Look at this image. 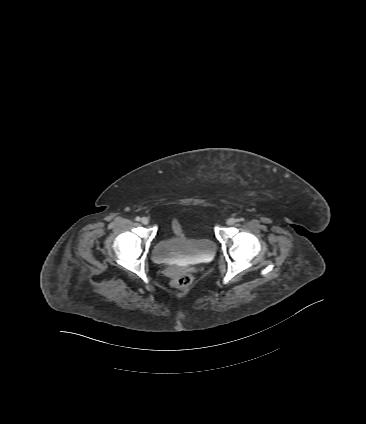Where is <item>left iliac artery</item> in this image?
<instances>
[{
  "label": "left iliac artery",
  "mask_w": 366,
  "mask_h": 424,
  "mask_svg": "<svg viewBox=\"0 0 366 424\" xmlns=\"http://www.w3.org/2000/svg\"><path fill=\"white\" fill-rule=\"evenodd\" d=\"M239 222H243L244 221V218H239V219H237Z\"/></svg>",
  "instance_id": "obj_1"
}]
</instances>
